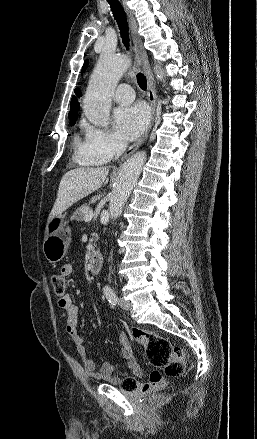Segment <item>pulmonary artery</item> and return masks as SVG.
<instances>
[{
  "mask_svg": "<svg viewBox=\"0 0 257 439\" xmlns=\"http://www.w3.org/2000/svg\"><path fill=\"white\" fill-rule=\"evenodd\" d=\"M134 92L128 84H121L114 93V100L119 104H128L134 100Z\"/></svg>",
  "mask_w": 257,
  "mask_h": 439,
  "instance_id": "e3ab8cb5",
  "label": "pulmonary artery"
}]
</instances>
